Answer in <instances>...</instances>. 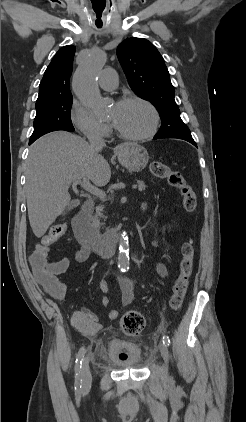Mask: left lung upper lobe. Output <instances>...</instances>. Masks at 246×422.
<instances>
[{
  "label": "left lung upper lobe",
  "mask_w": 246,
  "mask_h": 422,
  "mask_svg": "<svg viewBox=\"0 0 246 422\" xmlns=\"http://www.w3.org/2000/svg\"><path fill=\"white\" fill-rule=\"evenodd\" d=\"M117 56L131 89L160 114L162 124L155 137H192L180 117L168 69L156 47L144 38L132 37L119 44Z\"/></svg>",
  "instance_id": "5c2ea615"
}]
</instances>
